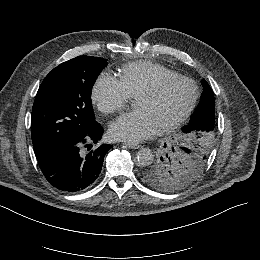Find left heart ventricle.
<instances>
[{
  "label": "left heart ventricle",
  "mask_w": 260,
  "mask_h": 260,
  "mask_svg": "<svg viewBox=\"0 0 260 260\" xmlns=\"http://www.w3.org/2000/svg\"><path fill=\"white\" fill-rule=\"evenodd\" d=\"M159 78H155L151 86ZM150 86V87H151ZM193 97L192 86L181 80L166 84L156 95H144L135 99L136 108L145 109L156 127L178 118L188 108Z\"/></svg>",
  "instance_id": "left-heart-ventricle-1"
}]
</instances>
